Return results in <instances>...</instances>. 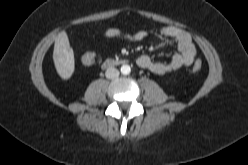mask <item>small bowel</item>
<instances>
[{
	"mask_svg": "<svg viewBox=\"0 0 248 165\" xmlns=\"http://www.w3.org/2000/svg\"><path fill=\"white\" fill-rule=\"evenodd\" d=\"M160 33L176 43L178 52L168 61H156L149 55L143 54L136 61L140 68L154 74L164 75L193 64L197 51L188 32L175 26H166L160 30ZM104 35L106 38H118L135 43L144 40L147 37V32L137 31L130 33L118 28H110L105 31Z\"/></svg>",
	"mask_w": 248,
	"mask_h": 165,
	"instance_id": "c3829d8e",
	"label": "small bowel"
}]
</instances>
